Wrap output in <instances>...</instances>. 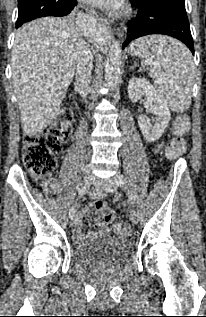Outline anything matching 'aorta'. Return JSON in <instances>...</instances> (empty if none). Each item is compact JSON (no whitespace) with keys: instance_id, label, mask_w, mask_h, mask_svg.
Segmentation results:
<instances>
[{"instance_id":"obj_1","label":"aorta","mask_w":206,"mask_h":317,"mask_svg":"<svg viewBox=\"0 0 206 317\" xmlns=\"http://www.w3.org/2000/svg\"><path fill=\"white\" fill-rule=\"evenodd\" d=\"M85 29L90 33H97L98 26L96 22L87 18L85 20ZM121 72V47L119 42H113L110 47L106 57L105 64V81L107 85L111 88H114L118 83L119 76Z\"/></svg>"}]
</instances>
